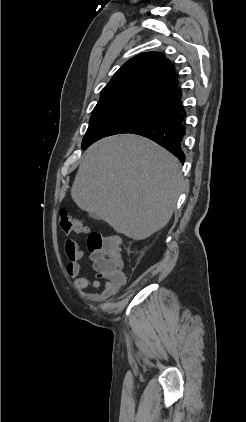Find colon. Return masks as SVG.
Masks as SVG:
<instances>
[{"mask_svg": "<svg viewBox=\"0 0 246 422\" xmlns=\"http://www.w3.org/2000/svg\"><path fill=\"white\" fill-rule=\"evenodd\" d=\"M60 226L67 234H88L89 251L100 256V275L117 277L122 273L119 235L104 236L98 231H92L80 220L68 216L65 210L60 211Z\"/></svg>", "mask_w": 246, "mask_h": 422, "instance_id": "5ec220e1", "label": "colon"}]
</instances>
